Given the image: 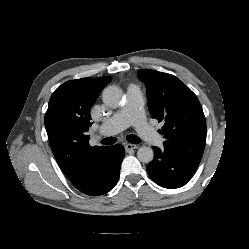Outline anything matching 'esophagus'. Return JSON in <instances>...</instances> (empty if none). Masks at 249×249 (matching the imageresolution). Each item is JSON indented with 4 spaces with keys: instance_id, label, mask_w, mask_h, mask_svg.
I'll list each match as a JSON object with an SVG mask.
<instances>
[{
    "instance_id": "34e87169",
    "label": "esophagus",
    "mask_w": 249,
    "mask_h": 249,
    "mask_svg": "<svg viewBox=\"0 0 249 249\" xmlns=\"http://www.w3.org/2000/svg\"><path fill=\"white\" fill-rule=\"evenodd\" d=\"M139 146L138 145H135V144H126L125 145V150L128 152L130 150H133V149H138Z\"/></svg>"
}]
</instances>
